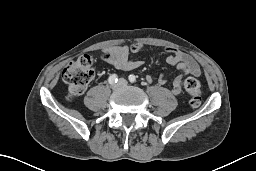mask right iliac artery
Instances as JSON below:
<instances>
[{
  "label": "right iliac artery",
  "instance_id": "82829eb1",
  "mask_svg": "<svg viewBox=\"0 0 256 171\" xmlns=\"http://www.w3.org/2000/svg\"><path fill=\"white\" fill-rule=\"evenodd\" d=\"M118 81V76L116 74H112L108 78L109 84H114Z\"/></svg>",
  "mask_w": 256,
  "mask_h": 171
}]
</instances>
